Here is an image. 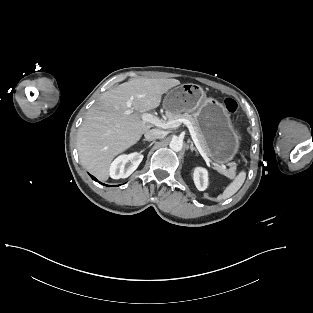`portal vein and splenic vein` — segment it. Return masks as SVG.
<instances>
[{
  "instance_id": "portal-vein-and-splenic-vein-1",
  "label": "portal vein and splenic vein",
  "mask_w": 313,
  "mask_h": 313,
  "mask_svg": "<svg viewBox=\"0 0 313 313\" xmlns=\"http://www.w3.org/2000/svg\"><path fill=\"white\" fill-rule=\"evenodd\" d=\"M142 120L144 122H149V123H151V124H153L159 128H162V129L178 128L183 123L189 129L192 140H193L194 144L196 145L199 153L204 158L206 163L210 164L211 160L208 158L207 154L205 153V151L201 147L200 142L197 138L196 132L194 130V127L189 120L180 118V119H174V120H169V121H163L160 118H158L157 116L150 114V113H143L142 114ZM222 168L226 169L225 167H222Z\"/></svg>"
}]
</instances>
